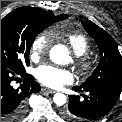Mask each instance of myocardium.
Wrapping results in <instances>:
<instances>
[{
  "label": "myocardium",
  "instance_id": "1",
  "mask_svg": "<svg viewBox=\"0 0 122 122\" xmlns=\"http://www.w3.org/2000/svg\"><path fill=\"white\" fill-rule=\"evenodd\" d=\"M78 67L81 75L88 76L93 72L95 64L91 57L83 55L78 62Z\"/></svg>",
  "mask_w": 122,
  "mask_h": 122
}]
</instances>
